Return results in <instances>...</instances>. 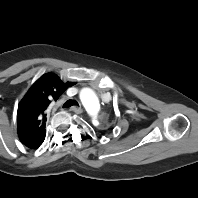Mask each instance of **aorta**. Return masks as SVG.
I'll use <instances>...</instances> for the list:
<instances>
[{"mask_svg": "<svg viewBox=\"0 0 198 198\" xmlns=\"http://www.w3.org/2000/svg\"><path fill=\"white\" fill-rule=\"evenodd\" d=\"M80 100L89 113L95 114L98 112L100 108L99 99L92 89H82L80 91Z\"/></svg>", "mask_w": 198, "mask_h": 198, "instance_id": "762f6f07", "label": "aorta"}]
</instances>
